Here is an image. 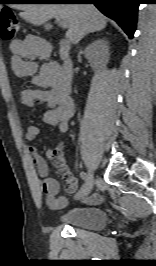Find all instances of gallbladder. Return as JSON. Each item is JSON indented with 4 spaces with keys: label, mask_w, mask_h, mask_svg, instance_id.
Segmentation results:
<instances>
[{
    "label": "gallbladder",
    "mask_w": 156,
    "mask_h": 266,
    "mask_svg": "<svg viewBox=\"0 0 156 266\" xmlns=\"http://www.w3.org/2000/svg\"><path fill=\"white\" fill-rule=\"evenodd\" d=\"M45 28H46V29H49V28H50V26H49V25H45Z\"/></svg>",
    "instance_id": "obj_1"
}]
</instances>
